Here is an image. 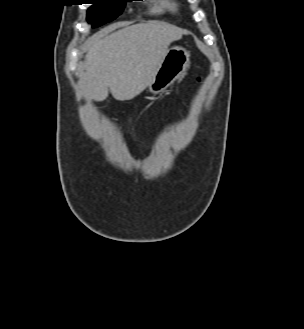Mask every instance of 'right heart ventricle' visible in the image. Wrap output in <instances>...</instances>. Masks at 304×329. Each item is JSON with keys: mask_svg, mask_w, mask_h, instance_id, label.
Returning a JSON list of instances; mask_svg holds the SVG:
<instances>
[{"mask_svg": "<svg viewBox=\"0 0 304 329\" xmlns=\"http://www.w3.org/2000/svg\"><path fill=\"white\" fill-rule=\"evenodd\" d=\"M155 11H170L176 10V5L172 0H156Z\"/></svg>", "mask_w": 304, "mask_h": 329, "instance_id": "right-heart-ventricle-1", "label": "right heart ventricle"}]
</instances>
